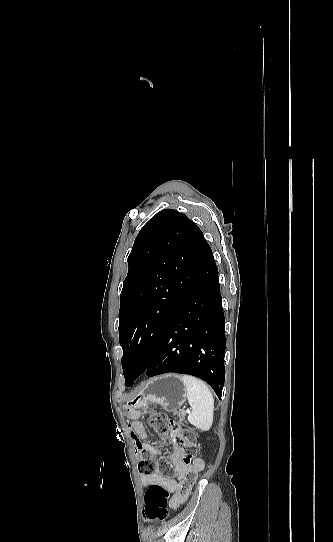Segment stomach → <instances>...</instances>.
Returning <instances> with one entry per match:
<instances>
[{
    "instance_id": "obj_1",
    "label": "stomach",
    "mask_w": 333,
    "mask_h": 542,
    "mask_svg": "<svg viewBox=\"0 0 333 542\" xmlns=\"http://www.w3.org/2000/svg\"><path fill=\"white\" fill-rule=\"evenodd\" d=\"M187 400L186 388L177 374H166L151 378L143 390L129 400L132 408H148L149 404H159L166 412H176Z\"/></svg>"
}]
</instances>
